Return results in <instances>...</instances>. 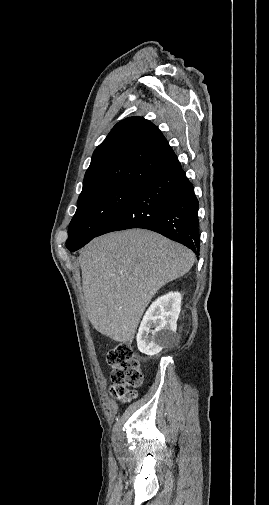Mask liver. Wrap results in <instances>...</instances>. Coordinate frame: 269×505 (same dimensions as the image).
<instances>
[{"label": "liver", "instance_id": "6515ba94", "mask_svg": "<svg viewBox=\"0 0 269 505\" xmlns=\"http://www.w3.org/2000/svg\"><path fill=\"white\" fill-rule=\"evenodd\" d=\"M194 261L191 250L148 230L93 239L79 256L91 324L114 341L132 342L154 294L186 274Z\"/></svg>", "mask_w": 269, "mask_h": 505}]
</instances>
